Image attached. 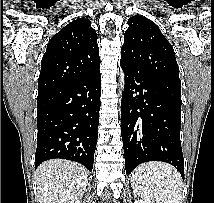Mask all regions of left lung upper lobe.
<instances>
[{"mask_svg": "<svg viewBox=\"0 0 214 203\" xmlns=\"http://www.w3.org/2000/svg\"><path fill=\"white\" fill-rule=\"evenodd\" d=\"M120 61L129 68L181 85L173 47L155 23L135 15L128 20Z\"/></svg>", "mask_w": 214, "mask_h": 203, "instance_id": "1", "label": "left lung upper lobe"}]
</instances>
